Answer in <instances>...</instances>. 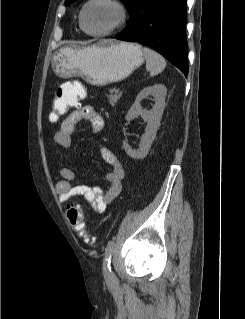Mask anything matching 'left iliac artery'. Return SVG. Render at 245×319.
Here are the masks:
<instances>
[{"mask_svg": "<svg viewBox=\"0 0 245 319\" xmlns=\"http://www.w3.org/2000/svg\"><path fill=\"white\" fill-rule=\"evenodd\" d=\"M113 251H114V240H110L105 249V258H104V264H103V272L105 277L107 278H114V275L110 267Z\"/></svg>", "mask_w": 245, "mask_h": 319, "instance_id": "44dca946", "label": "left iliac artery"}]
</instances>
